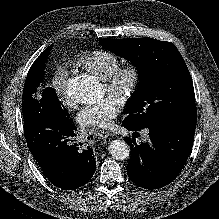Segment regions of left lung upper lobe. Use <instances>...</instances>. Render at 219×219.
Segmentation results:
<instances>
[{"label": "left lung upper lobe", "mask_w": 219, "mask_h": 219, "mask_svg": "<svg viewBox=\"0 0 219 219\" xmlns=\"http://www.w3.org/2000/svg\"><path fill=\"white\" fill-rule=\"evenodd\" d=\"M104 48L130 60L139 72V88L123 113L134 128H161L196 120L191 75L177 48L153 38L102 39Z\"/></svg>", "instance_id": "obj_1"}]
</instances>
